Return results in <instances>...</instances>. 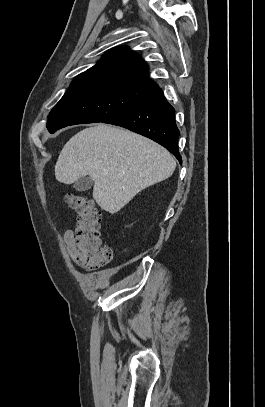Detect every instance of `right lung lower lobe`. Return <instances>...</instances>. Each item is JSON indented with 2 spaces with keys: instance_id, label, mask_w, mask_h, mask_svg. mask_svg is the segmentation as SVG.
Wrapping results in <instances>:
<instances>
[{
  "instance_id": "98d812e1",
  "label": "right lung lower lobe",
  "mask_w": 265,
  "mask_h": 407,
  "mask_svg": "<svg viewBox=\"0 0 265 407\" xmlns=\"http://www.w3.org/2000/svg\"><path fill=\"white\" fill-rule=\"evenodd\" d=\"M103 123L121 126L154 140L182 163L178 151L180 132L175 123L174 108L164 97L161 88L158 87L139 104Z\"/></svg>"
}]
</instances>
